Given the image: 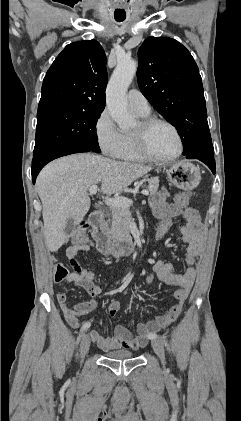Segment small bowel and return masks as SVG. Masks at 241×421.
Returning <instances> with one entry per match:
<instances>
[{
    "label": "small bowel",
    "instance_id": "1",
    "mask_svg": "<svg viewBox=\"0 0 241 421\" xmlns=\"http://www.w3.org/2000/svg\"><path fill=\"white\" fill-rule=\"evenodd\" d=\"M169 193L161 190L155 193L150 200V207L153 214L160 218L181 217L184 221L176 231V239L186 248V262L188 268L183 273H177L170 262L161 260H152L153 270L157 277L167 285L177 287L175 291L176 303L168 311L147 323L137 325V334L134 335L128 328L117 325L114 333L110 337L102 336L98 331L92 330L90 337L103 351H111L119 348L139 349L146 346L149 337L155 336L156 332L171 323H173L181 314L185 302L189 296L196 278V261L200 256L204 243V229L201 223L199 213L191 207H181L168 202ZM90 249L89 244L74 245L66 250V255L71 260L75 255L81 252H87ZM78 272L71 273L68 281L74 282L83 287L91 296V300L85 301L70 307L67 303V294L60 291L57 294V300L63 311L66 321L72 328H79V317L84 315H93L98 306L97 297L101 294L102 288L94 283L95 271L90 265L79 266ZM120 310V304L113 301L108 305V313L115 317Z\"/></svg>",
    "mask_w": 241,
    "mask_h": 421
}]
</instances>
